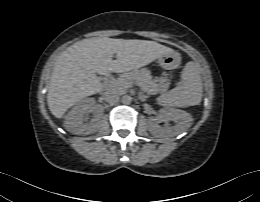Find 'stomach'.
Instances as JSON below:
<instances>
[{"label": "stomach", "instance_id": "stomach-1", "mask_svg": "<svg viewBox=\"0 0 260 202\" xmlns=\"http://www.w3.org/2000/svg\"><path fill=\"white\" fill-rule=\"evenodd\" d=\"M158 63L165 70H173L178 67L180 57L174 52L168 53L159 57Z\"/></svg>", "mask_w": 260, "mask_h": 202}]
</instances>
